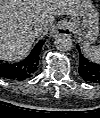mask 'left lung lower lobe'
I'll return each mask as SVG.
<instances>
[{
	"mask_svg": "<svg viewBox=\"0 0 100 118\" xmlns=\"http://www.w3.org/2000/svg\"><path fill=\"white\" fill-rule=\"evenodd\" d=\"M78 50L79 46L77 45ZM79 74L85 82L100 83V64L87 60L81 53L79 58Z\"/></svg>",
	"mask_w": 100,
	"mask_h": 118,
	"instance_id": "0a47b994",
	"label": "left lung lower lobe"
}]
</instances>
